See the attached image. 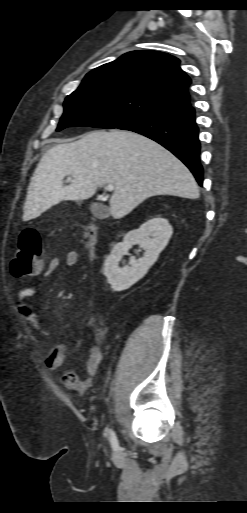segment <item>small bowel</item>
Returning <instances> with one entry per match:
<instances>
[{"instance_id": "c3829d8e", "label": "small bowel", "mask_w": 247, "mask_h": 513, "mask_svg": "<svg viewBox=\"0 0 247 513\" xmlns=\"http://www.w3.org/2000/svg\"><path fill=\"white\" fill-rule=\"evenodd\" d=\"M79 255L76 251L69 250L65 253L64 264L67 267L77 266ZM60 265V259L57 256L52 257L46 267L40 268V273L44 277L52 275ZM35 286L27 285L23 287L19 293L17 308L20 314L30 325L45 339L51 338L52 332L50 326L41 320L33 311L30 305V299L33 295ZM83 344V340H79L73 344L57 343L44 359L45 366L51 370L56 371L60 369L69 354L77 350ZM102 351L97 345H92L89 348L87 356L83 363V369L86 373L85 378H81L79 373L75 370L64 372L61 376V381L66 388L69 389H82L86 388L90 383L92 376L97 372L101 363Z\"/></svg>"}]
</instances>
